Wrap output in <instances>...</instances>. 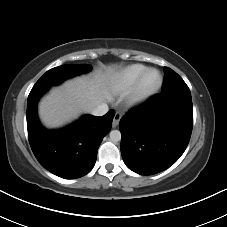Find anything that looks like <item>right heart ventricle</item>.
Instances as JSON below:
<instances>
[{
  "mask_svg": "<svg viewBox=\"0 0 227 227\" xmlns=\"http://www.w3.org/2000/svg\"><path fill=\"white\" fill-rule=\"evenodd\" d=\"M145 69L147 67L141 64H131L122 68L111 79V91L115 94L128 93Z\"/></svg>",
  "mask_w": 227,
  "mask_h": 227,
  "instance_id": "right-heart-ventricle-1",
  "label": "right heart ventricle"
}]
</instances>
